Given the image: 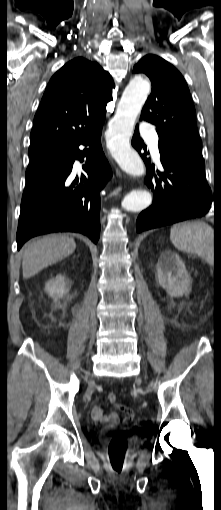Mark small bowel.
Segmentation results:
<instances>
[{
    "mask_svg": "<svg viewBox=\"0 0 221 510\" xmlns=\"http://www.w3.org/2000/svg\"><path fill=\"white\" fill-rule=\"evenodd\" d=\"M118 408L120 410L130 412L126 407L122 405H118ZM91 415L92 418L97 422L109 424H117L119 422V416L116 412L105 413L102 407L100 406L93 407L91 410Z\"/></svg>",
    "mask_w": 221,
    "mask_h": 510,
    "instance_id": "small-bowel-1",
    "label": "small bowel"
}]
</instances>
